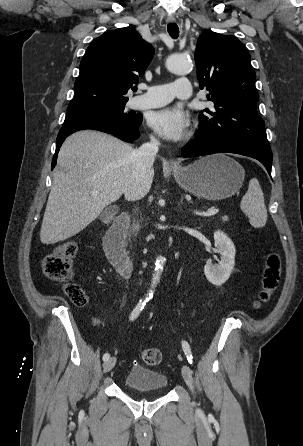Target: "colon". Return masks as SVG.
I'll return each instance as SVG.
<instances>
[{
	"mask_svg": "<svg viewBox=\"0 0 303 446\" xmlns=\"http://www.w3.org/2000/svg\"><path fill=\"white\" fill-rule=\"evenodd\" d=\"M78 252V243L75 240H68L60 243L52 253L46 255L41 268L44 276L56 282H65L64 293L76 306H83L87 302V296L82 287L70 282L72 275L73 259ZM281 257L277 252L267 255L261 281V288L253 302V307L258 309L269 301L271 295L276 290L281 276ZM143 362L149 366L161 363L162 353L157 348H148L142 351Z\"/></svg>",
	"mask_w": 303,
	"mask_h": 446,
	"instance_id": "5ec220e1",
	"label": "colon"
}]
</instances>
